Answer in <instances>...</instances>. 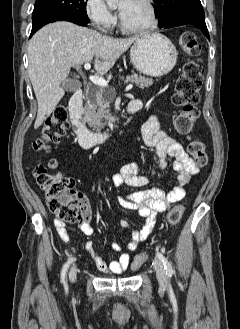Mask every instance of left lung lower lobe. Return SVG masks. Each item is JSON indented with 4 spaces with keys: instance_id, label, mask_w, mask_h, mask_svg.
Here are the masks:
<instances>
[{
    "instance_id": "left-lung-lower-lobe-1",
    "label": "left lung lower lobe",
    "mask_w": 240,
    "mask_h": 329,
    "mask_svg": "<svg viewBox=\"0 0 240 329\" xmlns=\"http://www.w3.org/2000/svg\"><path fill=\"white\" fill-rule=\"evenodd\" d=\"M185 24H192L198 27L204 35L210 40L208 29L205 23V18L203 17H196V16H180V17H175L168 21L166 25H164L161 28H171L175 26H181Z\"/></svg>"
}]
</instances>
